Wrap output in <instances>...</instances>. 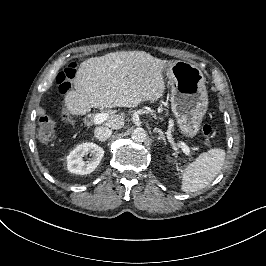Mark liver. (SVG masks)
<instances>
[{
    "label": "liver",
    "mask_w": 266,
    "mask_h": 266,
    "mask_svg": "<svg viewBox=\"0 0 266 266\" xmlns=\"http://www.w3.org/2000/svg\"><path fill=\"white\" fill-rule=\"evenodd\" d=\"M166 60L145 51H119L83 61L74 78L75 90L64 98L72 115H85L91 108L137 107L155 101L165 90L162 76ZM125 124V114L112 112L102 126L114 130Z\"/></svg>",
    "instance_id": "1"
}]
</instances>
